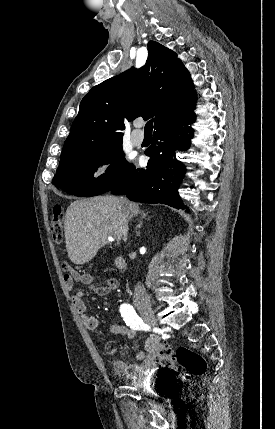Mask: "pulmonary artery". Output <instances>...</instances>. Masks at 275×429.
<instances>
[{
  "label": "pulmonary artery",
  "instance_id": "1",
  "mask_svg": "<svg viewBox=\"0 0 275 429\" xmlns=\"http://www.w3.org/2000/svg\"><path fill=\"white\" fill-rule=\"evenodd\" d=\"M138 124H136V129H134L131 133V140L135 145H141L144 141V134L139 129Z\"/></svg>",
  "mask_w": 275,
  "mask_h": 429
}]
</instances>
